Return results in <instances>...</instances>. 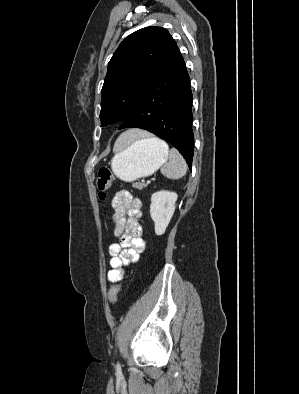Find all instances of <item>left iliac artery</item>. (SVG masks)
Returning <instances> with one entry per match:
<instances>
[{
  "label": "left iliac artery",
  "instance_id": "obj_1",
  "mask_svg": "<svg viewBox=\"0 0 299 394\" xmlns=\"http://www.w3.org/2000/svg\"><path fill=\"white\" fill-rule=\"evenodd\" d=\"M117 367H118V369H120V364L119 363L117 364Z\"/></svg>",
  "mask_w": 299,
  "mask_h": 394
}]
</instances>
